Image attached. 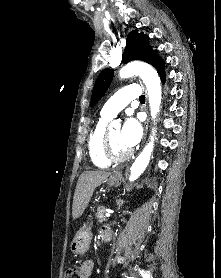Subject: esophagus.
Segmentation results:
<instances>
[{
    "mask_svg": "<svg viewBox=\"0 0 221 278\" xmlns=\"http://www.w3.org/2000/svg\"><path fill=\"white\" fill-rule=\"evenodd\" d=\"M147 113H148V110H147ZM149 115H148V117H147V119H146V121H145V123H144V137H143V144H144V142H145V140H146V136H147V132H148V127H149Z\"/></svg>",
    "mask_w": 221,
    "mask_h": 278,
    "instance_id": "1",
    "label": "esophagus"
}]
</instances>
